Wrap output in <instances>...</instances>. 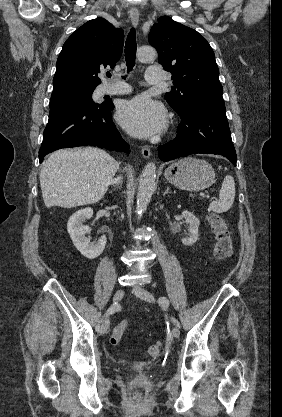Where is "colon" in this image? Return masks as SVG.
Segmentation results:
<instances>
[{
    "mask_svg": "<svg viewBox=\"0 0 282 417\" xmlns=\"http://www.w3.org/2000/svg\"><path fill=\"white\" fill-rule=\"evenodd\" d=\"M207 221L215 238L214 256L218 261L227 260L232 253L233 243L228 228V221L225 217L217 213H209ZM129 328V321L124 320L117 325L109 339L112 346H117ZM162 354V345L160 343H153L147 347V357L149 359H157ZM133 397L136 403H143L146 397L145 389H134Z\"/></svg>",
    "mask_w": 282,
    "mask_h": 417,
    "instance_id": "colon-1",
    "label": "colon"
}]
</instances>
